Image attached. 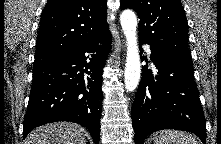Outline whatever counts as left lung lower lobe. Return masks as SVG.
I'll list each match as a JSON object with an SVG mask.
<instances>
[{
	"mask_svg": "<svg viewBox=\"0 0 221 144\" xmlns=\"http://www.w3.org/2000/svg\"><path fill=\"white\" fill-rule=\"evenodd\" d=\"M151 60L157 72L143 67L131 109L136 144H143L149 134L162 129L192 132L205 143L206 121L192 60L153 47Z\"/></svg>",
	"mask_w": 221,
	"mask_h": 144,
	"instance_id": "left-lung-lower-lobe-1",
	"label": "left lung lower lobe"
}]
</instances>
